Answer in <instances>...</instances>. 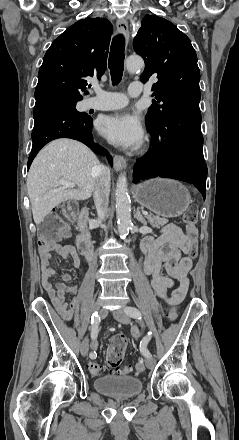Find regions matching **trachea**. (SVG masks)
<instances>
[{
    "label": "trachea",
    "instance_id": "1",
    "mask_svg": "<svg viewBox=\"0 0 239 440\" xmlns=\"http://www.w3.org/2000/svg\"><path fill=\"white\" fill-rule=\"evenodd\" d=\"M124 47V36L121 34L116 35L113 38L109 54V70L113 85H118L122 80L124 70Z\"/></svg>",
    "mask_w": 239,
    "mask_h": 440
}]
</instances>
